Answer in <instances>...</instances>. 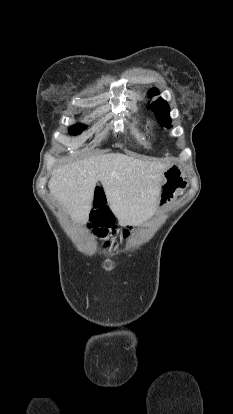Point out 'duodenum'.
Listing matches in <instances>:
<instances>
[{"label": "duodenum", "instance_id": "duodenum-1", "mask_svg": "<svg viewBox=\"0 0 233 414\" xmlns=\"http://www.w3.org/2000/svg\"><path fill=\"white\" fill-rule=\"evenodd\" d=\"M104 189L102 185H95L94 194L97 195L95 197V205L93 206L94 210H98L99 212H108L110 210V205L106 202V197L104 194Z\"/></svg>", "mask_w": 233, "mask_h": 414}]
</instances>
